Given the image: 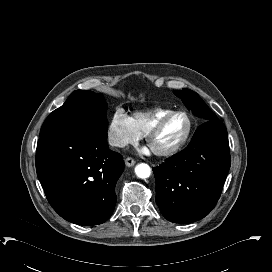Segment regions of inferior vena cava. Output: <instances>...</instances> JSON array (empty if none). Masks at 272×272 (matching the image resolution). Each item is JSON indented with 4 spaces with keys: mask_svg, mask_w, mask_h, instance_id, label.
Instances as JSON below:
<instances>
[{
    "mask_svg": "<svg viewBox=\"0 0 272 272\" xmlns=\"http://www.w3.org/2000/svg\"><path fill=\"white\" fill-rule=\"evenodd\" d=\"M108 143L115 147H124L126 145V142L122 138L115 135L109 136Z\"/></svg>",
    "mask_w": 272,
    "mask_h": 272,
    "instance_id": "1",
    "label": "inferior vena cava"
}]
</instances>
